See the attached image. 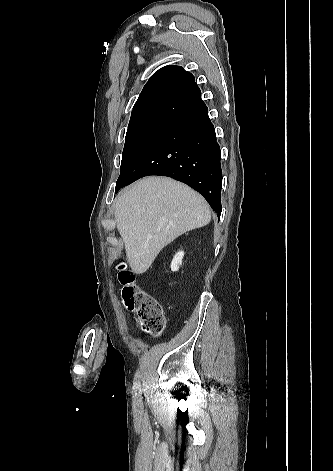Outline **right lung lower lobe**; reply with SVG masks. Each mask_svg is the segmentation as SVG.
Here are the masks:
<instances>
[{"label": "right lung lower lobe", "instance_id": "obj_1", "mask_svg": "<svg viewBox=\"0 0 333 471\" xmlns=\"http://www.w3.org/2000/svg\"><path fill=\"white\" fill-rule=\"evenodd\" d=\"M221 151L201 100L162 131L119 176L115 193L139 178L168 176L198 191L220 217Z\"/></svg>", "mask_w": 333, "mask_h": 471}]
</instances>
